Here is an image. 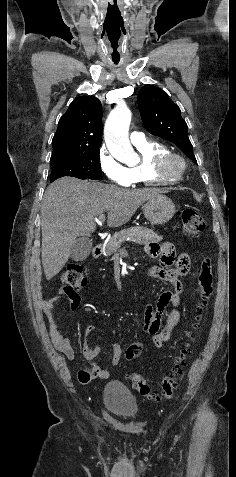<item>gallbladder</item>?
<instances>
[{
    "mask_svg": "<svg viewBox=\"0 0 236 477\" xmlns=\"http://www.w3.org/2000/svg\"><path fill=\"white\" fill-rule=\"evenodd\" d=\"M92 250V240L88 237H79L71 249V258L75 261L85 260Z\"/></svg>",
    "mask_w": 236,
    "mask_h": 477,
    "instance_id": "1",
    "label": "gallbladder"
}]
</instances>
